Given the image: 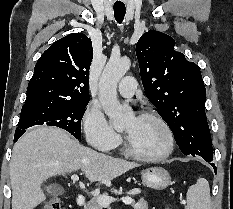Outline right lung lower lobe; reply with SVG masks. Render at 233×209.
Wrapping results in <instances>:
<instances>
[{
	"label": "right lung lower lobe",
	"instance_id": "right-lung-lower-lobe-1",
	"mask_svg": "<svg viewBox=\"0 0 233 209\" xmlns=\"http://www.w3.org/2000/svg\"><path fill=\"white\" fill-rule=\"evenodd\" d=\"M22 134H15V136H14V142H16L18 139H19V137L21 136Z\"/></svg>",
	"mask_w": 233,
	"mask_h": 209
}]
</instances>
